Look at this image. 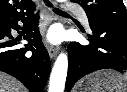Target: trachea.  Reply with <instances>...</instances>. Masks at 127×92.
Here are the masks:
<instances>
[{"instance_id": "obj_1", "label": "trachea", "mask_w": 127, "mask_h": 92, "mask_svg": "<svg viewBox=\"0 0 127 92\" xmlns=\"http://www.w3.org/2000/svg\"><path fill=\"white\" fill-rule=\"evenodd\" d=\"M46 5L49 6V7L52 6V4H51L49 1H46ZM53 11H54L55 13H57V14L68 16V14H67L66 12H64V11H62V10H60V9H56V8H55V9H53Z\"/></svg>"}]
</instances>
